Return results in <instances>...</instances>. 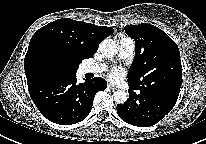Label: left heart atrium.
I'll list each match as a JSON object with an SVG mask.
<instances>
[{
    "instance_id": "1",
    "label": "left heart atrium",
    "mask_w": 206,
    "mask_h": 144,
    "mask_svg": "<svg viewBox=\"0 0 206 144\" xmlns=\"http://www.w3.org/2000/svg\"><path fill=\"white\" fill-rule=\"evenodd\" d=\"M123 75H124L123 69L118 67L113 68L108 74L109 78L114 81L121 79Z\"/></svg>"
}]
</instances>
